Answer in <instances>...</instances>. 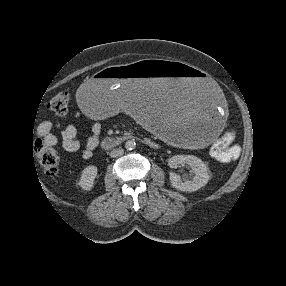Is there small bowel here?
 I'll return each instance as SVG.
<instances>
[{
  "label": "small bowel",
  "instance_id": "small-bowel-1",
  "mask_svg": "<svg viewBox=\"0 0 286 286\" xmlns=\"http://www.w3.org/2000/svg\"><path fill=\"white\" fill-rule=\"evenodd\" d=\"M55 127L60 131L62 148L69 153L80 152L82 158L90 159L99 145V136L101 133V125L94 123L91 126V134L84 144H81L77 138V128L74 125L56 124ZM54 125L51 122H42L37 127V134L42 137L46 144L54 146L58 143V138L53 132ZM230 159L238 158L240 149L238 146H231ZM229 159V160H230Z\"/></svg>",
  "mask_w": 286,
  "mask_h": 286
}]
</instances>
